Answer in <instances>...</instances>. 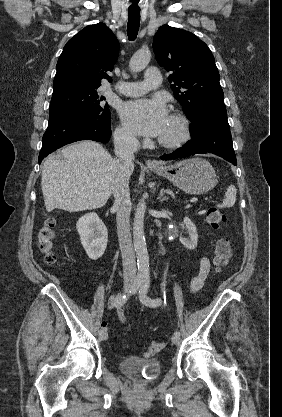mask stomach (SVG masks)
I'll list each match as a JSON object with an SVG mask.
<instances>
[{"label": "stomach", "instance_id": "stomach-1", "mask_svg": "<svg viewBox=\"0 0 282 417\" xmlns=\"http://www.w3.org/2000/svg\"><path fill=\"white\" fill-rule=\"evenodd\" d=\"M160 176L171 180L175 186L188 194H204L212 190L217 184L216 172L205 158H186L174 164H163L158 168H151Z\"/></svg>", "mask_w": 282, "mask_h": 417}]
</instances>
